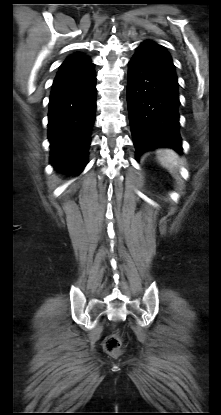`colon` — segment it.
I'll list each match as a JSON object with an SVG mask.
<instances>
[{
  "mask_svg": "<svg viewBox=\"0 0 221 415\" xmlns=\"http://www.w3.org/2000/svg\"><path fill=\"white\" fill-rule=\"evenodd\" d=\"M104 349L110 354H116L121 347V340L117 335H110L104 340Z\"/></svg>",
  "mask_w": 221,
  "mask_h": 415,
  "instance_id": "colon-1",
  "label": "colon"
}]
</instances>
